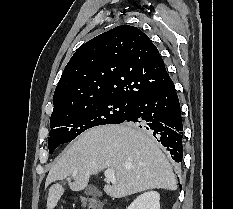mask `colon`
I'll use <instances>...</instances> for the list:
<instances>
[{
	"label": "colon",
	"mask_w": 233,
	"mask_h": 209,
	"mask_svg": "<svg viewBox=\"0 0 233 209\" xmlns=\"http://www.w3.org/2000/svg\"><path fill=\"white\" fill-rule=\"evenodd\" d=\"M81 202L85 209H104V204L96 200H87L83 198Z\"/></svg>",
	"instance_id": "colon-1"
}]
</instances>
